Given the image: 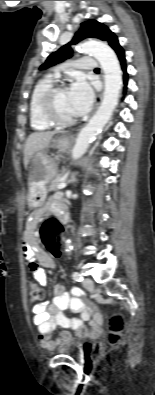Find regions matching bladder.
Wrapping results in <instances>:
<instances>
[{"mask_svg": "<svg viewBox=\"0 0 155 395\" xmlns=\"http://www.w3.org/2000/svg\"><path fill=\"white\" fill-rule=\"evenodd\" d=\"M94 348L92 341H85L80 339H69L59 343L55 351L59 354L71 355V356H86Z\"/></svg>", "mask_w": 155, "mask_h": 395, "instance_id": "bladder-1", "label": "bladder"}]
</instances>
